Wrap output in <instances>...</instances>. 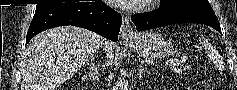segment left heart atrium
<instances>
[{
    "label": "left heart atrium",
    "mask_w": 237,
    "mask_h": 90,
    "mask_svg": "<svg viewBox=\"0 0 237 90\" xmlns=\"http://www.w3.org/2000/svg\"><path fill=\"white\" fill-rule=\"evenodd\" d=\"M151 0H112V7H122V10H137L143 7V3H150Z\"/></svg>",
    "instance_id": "1"
}]
</instances>
